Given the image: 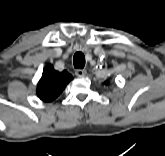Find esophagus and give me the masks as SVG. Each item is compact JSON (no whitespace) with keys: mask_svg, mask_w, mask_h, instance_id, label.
<instances>
[{"mask_svg":"<svg viewBox=\"0 0 165 156\" xmlns=\"http://www.w3.org/2000/svg\"><path fill=\"white\" fill-rule=\"evenodd\" d=\"M75 74L78 77H84L87 74V71L85 69H77Z\"/></svg>","mask_w":165,"mask_h":156,"instance_id":"34e87169","label":"esophagus"}]
</instances>
